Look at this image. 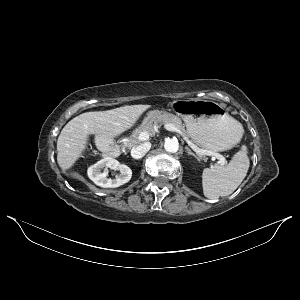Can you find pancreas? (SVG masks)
<instances>
[{
	"label": "pancreas",
	"instance_id": "pancreas-1",
	"mask_svg": "<svg viewBox=\"0 0 300 300\" xmlns=\"http://www.w3.org/2000/svg\"><path fill=\"white\" fill-rule=\"evenodd\" d=\"M154 124L157 126H160L162 124H172L176 128H178L184 136H189L188 132L186 131L184 125L182 122L176 118L174 115L167 113V112H161L158 117L156 118H146L142 125L139 126L137 129H135L132 133V135L128 138V141L125 142V145L127 146H133L139 142L138 136L141 132H148L149 135H154Z\"/></svg>",
	"mask_w": 300,
	"mask_h": 300
}]
</instances>
